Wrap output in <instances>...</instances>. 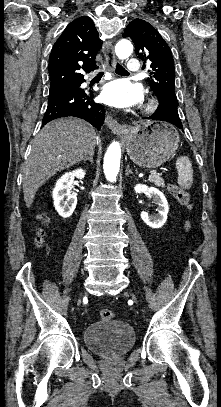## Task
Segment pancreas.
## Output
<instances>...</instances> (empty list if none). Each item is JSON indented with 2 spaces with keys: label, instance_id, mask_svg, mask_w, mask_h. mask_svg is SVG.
I'll return each mask as SVG.
<instances>
[{
  "label": "pancreas",
  "instance_id": "1",
  "mask_svg": "<svg viewBox=\"0 0 221 407\" xmlns=\"http://www.w3.org/2000/svg\"><path fill=\"white\" fill-rule=\"evenodd\" d=\"M149 182L154 183L156 186L164 187V180L161 178L160 174H152L149 176Z\"/></svg>",
  "mask_w": 221,
  "mask_h": 407
}]
</instances>
